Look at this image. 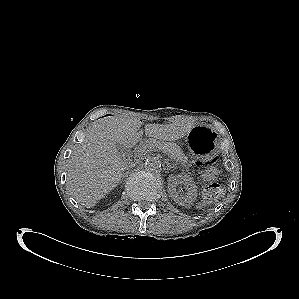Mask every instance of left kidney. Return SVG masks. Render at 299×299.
Here are the masks:
<instances>
[{
    "mask_svg": "<svg viewBox=\"0 0 299 299\" xmlns=\"http://www.w3.org/2000/svg\"><path fill=\"white\" fill-rule=\"evenodd\" d=\"M178 183H183L185 185L187 193L184 196L179 195L176 192ZM168 192L172 199L182 206H190L197 196V189L192 178L186 175L169 176Z\"/></svg>",
    "mask_w": 299,
    "mask_h": 299,
    "instance_id": "1",
    "label": "left kidney"
}]
</instances>
